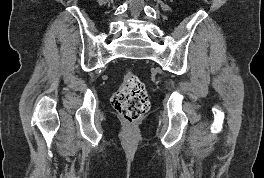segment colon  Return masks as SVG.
<instances>
[{
	"label": "colon",
	"mask_w": 264,
	"mask_h": 178,
	"mask_svg": "<svg viewBox=\"0 0 264 178\" xmlns=\"http://www.w3.org/2000/svg\"><path fill=\"white\" fill-rule=\"evenodd\" d=\"M111 102L120 117L128 123L141 119L149 108V97L145 86L132 72L124 74L122 83L113 94Z\"/></svg>",
	"instance_id": "5ec220e1"
}]
</instances>
